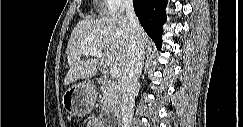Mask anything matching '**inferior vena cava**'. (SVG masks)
Returning <instances> with one entry per match:
<instances>
[{
    "label": "inferior vena cava",
    "mask_w": 243,
    "mask_h": 127,
    "mask_svg": "<svg viewBox=\"0 0 243 127\" xmlns=\"http://www.w3.org/2000/svg\"><path fill=\"white\" fill-rule=\"evenodd\" d=\"M126 18L131 25L130 45L126 58V67L123 73L122 102H121V127H130L134 112L133 93L137 88L144 60V45L141 41V26L135 14L133 1L125 0Z\"/></svg>",
    "instance_id": "602c4592"
}]
</instances>
